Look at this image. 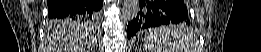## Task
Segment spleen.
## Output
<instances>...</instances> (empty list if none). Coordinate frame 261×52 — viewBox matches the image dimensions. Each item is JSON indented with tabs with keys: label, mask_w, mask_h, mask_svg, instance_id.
I'll list each match as a JSON object with an SVG mask.
<instances>
[{
	"label": "spleen",
	"mask_w": 261,
	"mask_h": 52,
	"mask_svg": "<svg viewBox=\"0 0 261 52\" xmlns=\"http://www.w3.org/2000/svg\"><path fill=\"white\" fill-rule=\"evenodd\" d=\"M184 32L182 24L149 30L145 35L146 47L149 52H190L192 37Z\"/></svg>",
	"instance_id": "3e777b00"
}]
</instances>
